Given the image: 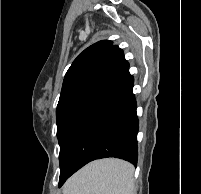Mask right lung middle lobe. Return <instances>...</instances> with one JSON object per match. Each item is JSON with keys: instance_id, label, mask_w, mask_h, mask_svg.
<instances>
[{"instance_id": "right-lung-middle-lobe-1", "label": "right lung middle lobe", "mask_w": 201, "mask_h": 194, "mask_svg": "<svg viewBox=\"0 0 201 194\" xmlns=\"http://www.w3.org/2000/svg\"><path fill=\"white\" fill-rule=\"evenodd\" d=\"M92 98H80L70 102H67L57 107L56 118H57V137L59 144L63 138L65 131L75 115L86 106Z\"/></svg>"}]
</instances>
